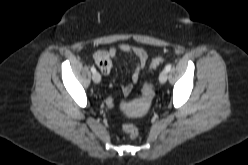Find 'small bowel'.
<instances>
[{"label": "small bowel", "instance_id": "1", "mask_svg": "<svg viewBox=\"0 0 248 165\" xmlns=\"http://www.w3.org/2000/svg\"><path fill=\"white\" fill-rule=\"evenodd\" d=\"M118 53L132 55L137 61L136 67L131 76V82L122 86V94L124 96H128L132 92L134 85L139 81L140 74L146 65L147 53L143 48L138 46H132L126 43L115 45L111 47L106 53L109 63L107 67L100 69L104 74H108L110 72L112 68V60L117 56ZM107 104L109 106H114L115 100L113 98H109L107 100Z\"/></svg>", "mask_w": 248, "mask_h": 165}]
</instances>
